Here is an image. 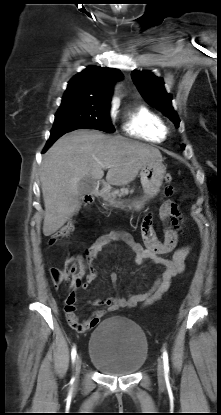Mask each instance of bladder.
I'll list each match as a JSON object with an SVG mask.
<instances>
[{"mask_svg":"<svg viewBox=\"0 0 221 415\" xmlns=\"http://www.w3.org/2000/svg\"><path fill=\"white\" fill-rule=\"evenodd\" d=\"M148 355L143 330L132 320L115 316L100 323L89 339V358L104 374L126 376L137 372Z\"/></svg>","mask_w":221,"mask_h":415,"instance_id":"bladder-1","label":"bladder"}]
</instances>
